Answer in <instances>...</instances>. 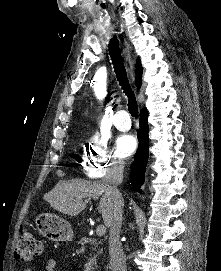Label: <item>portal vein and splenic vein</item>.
I'll return each mask as SVG.
<instances>
[{
  "label": "portal vein and splenic vein",
  "mask_w": 221,
  "mask_h": 271,
  "mask_svg": "<svg viewBox=\"0 0 221 271\" xmlns=\"http://www.w3.org/2000/svg\"><path fill=\"white\" fill-rule=\"evenodd\" d=\"M86 201H87V199H86ZM97 233H98V237L100 238L102 235L101 234H104V225H99L98 227H97V231H96Z\"/></svg>",
  "instance_id": "portal-vein-and-splenic-vein-1"
}]
</instances>
